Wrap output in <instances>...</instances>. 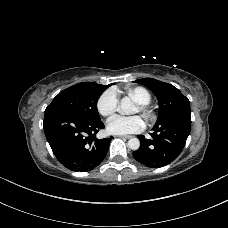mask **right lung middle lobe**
<instances>
[{
    "label": "right lung middle lobe",
    "mask_w": 228,
    "mask_h": 228,
    "mask_svg": "<svg viewBox=\"0 0 228 228\" xmlns=\"http://www.w3.org/2000/svg\"><path fill=\"white\" fill-rule=\"evenodd\" d=\"M109 85L83 82L61 91L46 109L59 108L87 120L100 119L97 101Z\"/></svg>",
    "instance_id": "right-lung-middle-lobe-1"
}]
</instances>
